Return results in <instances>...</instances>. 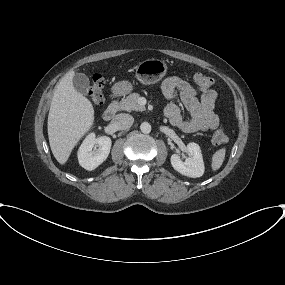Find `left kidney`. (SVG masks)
I'll return each instance as SVG.
<instances>
[{
	"label": "left kidney",
	"mask_w": 285,
	"mask_h": 285,
	"mask_svg": "<svg viewBox=\"0 0 285 285\" xmlns=\"http://www.w3.org/2000/svg\"><path fill=\"white\" fill-rule=\"evenodd\" d=\"M190 154L185 161H182L177 154L171 156L172 167L184 176L197 178L204 174V162L200 146L194 142L187 145Z\"/></svg>",
	"instance_id": "left-kidney-1"
}]
</instances>
